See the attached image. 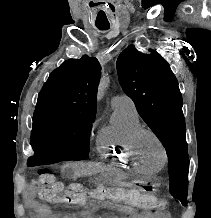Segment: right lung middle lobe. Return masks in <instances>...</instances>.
<instances>
[{"mask_svg":"<svg viewBox=\"0 0 211 218\" xmlns=\"http://www.w3.org/2000/svg\"><path fill=\"white\" fill-rule=\"evenodd\" d=\"M95 115L69 111L36 109L31 141L45 145L71 143L88 158L89 138Z\"/></svg>","mask_w":211,"mask_h":218,"instance_id":"1","label":"right lung middle lobe"}]
</instances>
